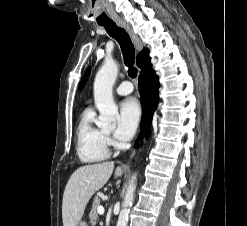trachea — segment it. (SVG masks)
<instances>
[{
  "label": "trachea",
  "mask_w": 247,
  "mask_h": 226,
  "mask_svg": "<svg viewBox=\"0 0 247 226\" xmlns=\"http://www.w3.org/2000/svg\"><path fill=\"white\" fill-rule=\"evenodd\" d=\"M100 25L105 28L109 36L114 38L119 43L123 53L124 63L128 67V75L131 78H135L137 76V69L133 66L135 49L128 33L125 29L118 27L113 21L102 23Z\"/></svg>",
  "instance_id": "obj_1"
}]
</instances>
